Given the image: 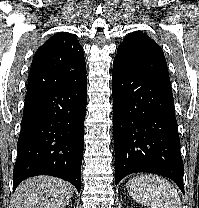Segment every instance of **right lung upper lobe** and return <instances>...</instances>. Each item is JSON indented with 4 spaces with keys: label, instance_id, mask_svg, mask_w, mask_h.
I'll return each instance as SVG.
<instances>
[{
    "label": "right lung upper lobe",
    "instance_id": "right-lung-upper-lobe-1",
    "mask_svg": "<svg viewBox=\"0 0 199 208\" xmlns=\"http://www.w3.org/2000/svg\"><path fill=\"white\" fill-rule=\"evenodd\" d=\"M85 77L86 63L82 46L72 34L57 33L33 57L27 94L74 84Z\"/></svg>",
    "mask_w": 199,
    "mask_h": 208
}]
</instances>
